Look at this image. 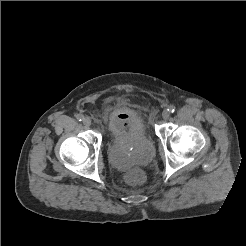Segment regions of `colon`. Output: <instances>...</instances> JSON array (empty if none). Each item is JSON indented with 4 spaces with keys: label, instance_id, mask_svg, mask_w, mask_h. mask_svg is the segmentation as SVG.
Returning <instances> with one entry per match:
<instances>
[{
    "label": "colon",
    "instance_id": "5ec220e1",
    "mask_svg": "<svg viewBox=\"0 0 246 246\" xmlns=\"http://www.w3.org/2000/svg\"><path fill=\"white\" fill-rule=\"evenodd\" d=\"M126 180L130 184H140L144 181V174L142 171L135 169L127 173Z\"/></svg>",
    "mask_w": 246,
    "mask_h": 246
}]
</instances>
